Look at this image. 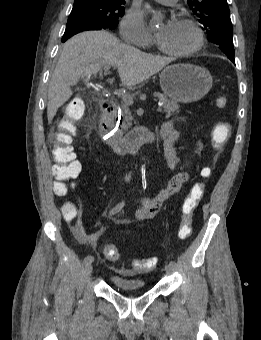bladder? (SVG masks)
Here are the masks:
<instances>
[{
    "mask_svg": "<svg viewBox=\"0 0 261 340\" xmlns=\"http://www.w3.org/2000/svg\"><path fill=\"white\" fill-rule=\"evenodd\" d=\"M112 283L115 287L123 292L143 291L146 289V284L142 279L129 278L122 276H112Z\"/></svg>",
    "mask_w": 261,
    "mask_h": 340,
    "instance_id": "31cf9c89",
    "label": "bladder"
}]
</instances>
